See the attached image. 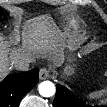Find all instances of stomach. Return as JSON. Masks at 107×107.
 <instances>
[{
    "label": "stomach",
    "instance_id": "obj_1",
    "mask_svg": "<svg viewBox=\"0 0 107 107\" xmlns=\"http://www.w3.org/2000/svg\"><path fill=\"white\" fill-rule=\"evenodd\" d=\"M69 70L66 69V71L69 73V74H73L74 71L71 69V68H68Z\"/></svg>",
    "mask_w": 107,
    "mask_h": 107
}]
</instances>
